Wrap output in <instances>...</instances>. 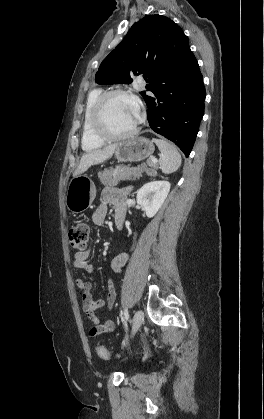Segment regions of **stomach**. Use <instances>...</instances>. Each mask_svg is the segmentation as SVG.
I'll list each match as a JSON object with an SVG mask.
<instances>
[{"label": "stomach", "mask_w": 264, "mask_h": 419, "mask_svg": "<svg viewBox=\"0 0 264 419\" xmlns=\"http://www.w3.org/2000/svg\"><path fill=\"white\" fill-rule=\"evenodd\" d=\"M154 150L152 141L138 137L117 144L115 156L121 162H137L150 157ZM95 195L96 188L89 177L86 175L74 176L68 185L66 206L72 213H81L91 206Z\"/></svg>", "instance_id": "1"}]
</instances>
